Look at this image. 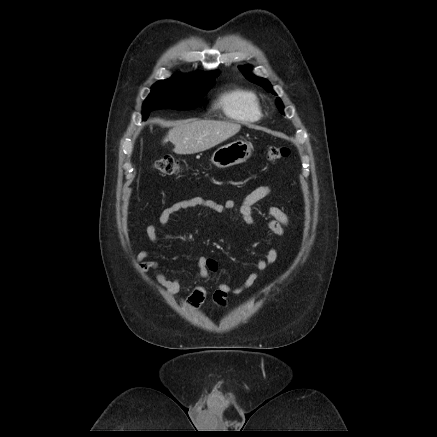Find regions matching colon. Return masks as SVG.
Instances as JSON below:
<instances>
[{"mask_svg": "<svg viewBox=\"0 0 437 437\" xmlns=\"http://www.w3.org/2000/svg\"><path fill=\"white\" fill-rule=\"evenodd\" d=\"M289 154L290 150L285 146L269 147L266 150V158L271 162L280 160L286 156H289ZM153 167L156 171L165 175H175L181 170L179 160L170 155L156 160L153 164Z\"/></svg>", "mask_w": 437, "mask_h": 437, "instance_id": "obj_1", "label": "colon"}]
</instances>
